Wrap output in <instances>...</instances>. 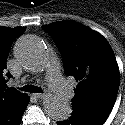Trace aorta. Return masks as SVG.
Listing matches in <instances>:
<instances>
[{
  "mask_svg": "<svg viewBox=\"0 0 125 125\" xmlns=\"http://www.w3.org/2000/svg\"><path fill=\"white\" fill-rule=\"evenodd\" d=\"M14 49L16 58L26 69L38 72L45 66L47 48L39 37L24 36L17 41ZM43 106L46 114L58 121L68 119L72 112L67 100L54 94H48L44 98Z\"/></svg>",
  "mask_w": 125,
  "mask_h": 125,
  "instance_id": "1",
  "label": "aorta"
}]
</instances>
